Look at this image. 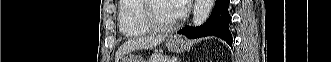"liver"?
Masks as SVG:
<instances>
[{"mask_svg": "<svg viewBox=\"0 0 331 62\" xmlns=\"http://www.w3.org/2000/svg\"><path fill=\"white\" fill-rule=\"evenodd\" d=\"M165 38L166 35H157L128 40L119 47L115 62H118L123 55L134 50L155 48L160 45Z\"/></svg>", "mask_w": 331, "mask_h": 62, "instance_id": "1", "label": "liver"}]
</instances>
